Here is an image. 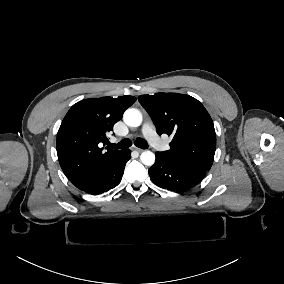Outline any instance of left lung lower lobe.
Returning <instances> with one entry per match:
<instances>
[{"label":"left lung lower lobe","mask_w":284,"mask_h":284,"mask_svg":"<svg viewBox=\"0 0 284 284\" xmlns=\"http://www.w3.org/2000/svg\"><path fill=\"white\" fill-rule=\"evenodd\" d=\"M206 172L171 162L158 152L154 165L149 169V175L154 184L175 192H184L196 186L206 176Z\"/></svg>","instance_id":"obj_1"}]
</instances>
